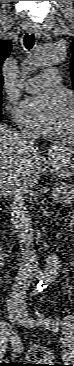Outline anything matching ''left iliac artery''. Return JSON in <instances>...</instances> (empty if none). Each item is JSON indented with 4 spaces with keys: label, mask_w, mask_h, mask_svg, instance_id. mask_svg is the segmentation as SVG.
<instances>
[{
    "label": "left iliac artery",
    "mask_w": 74,
    "mask_h": 366,
    "mask_svg": "<svg viewBox=\"0 0 74 366\" xmlns=\"http://www.w3.org/2000/svg\"><path fill=\"white\" fill-rule=\"evenodd\" d=\"M34 321V320H32ZM38 325H42L46 328L52 329L53 331L58 330V323L51 318H42L37 321Z\"/></svg>",
    "instance_id": "44dca946"
}]
</instances>
